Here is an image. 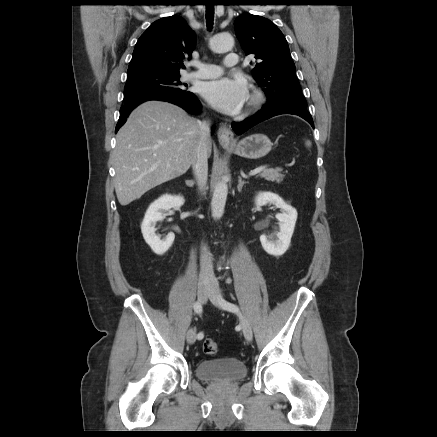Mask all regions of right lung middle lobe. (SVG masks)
Returning <instances> with one entry per match:
<instances>
[{
  "mask_svg": "<svg viewBox=\"0 0 437 437\" xmlns=\"http://www.w3.org/2000/svg\"><path fill=\"white\" fill-rule=\"evenodd\" d=\"M124 101L130 102L155 94H190L186 84L180 82V73L127 74Z\"/></svg>",
  "mask_w": 437,
  "mask_h": 437,
  "instance_id": "obj_1",
  "label": "right lung middle lobe"
}]
</instances>
